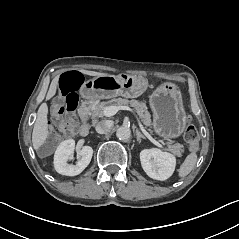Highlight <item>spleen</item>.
<instances>
[{
	"label": "spleen",
	"instance_id": "spleen-1",
	"mask_svg": "<svg viewBox=\"0 0 239 239\" xmlns=\"http://www.w3.org/2000/svg\"><path fill=\"white\" fill-rule=\"evenodd\" d=\"M197 162V154L190 153L178 169V177L185 178L194 168Z\"/></svg>",
	"mask_w": 239,
	"mask_h": 239
}]
</instances>
